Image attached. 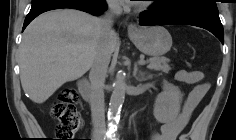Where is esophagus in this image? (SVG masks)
<instances>
[{
    "instance_id": "34e87169",
    "label": "esophagus",
    "mask_w": 236,
    "mask_h": 140,
    "mask_svg": "<svg viewBox=\"0 0 236 140\" xmlns=\"http://www.w3.org/2000/svg\"><path fill=\"white\" fill-rule=\"evenodd\" d=\"M136 31H137L136 25H130V26H129L128 32H129L130 34L135 33Z\"/></svg>"
}]
</instances>
